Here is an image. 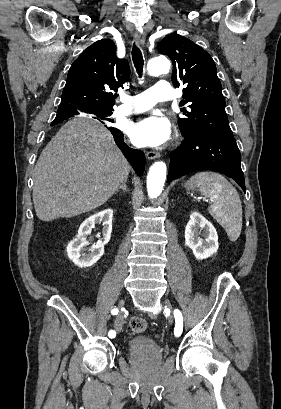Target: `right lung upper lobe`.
I'll use <instances>...</instances> for the list:
<instances>
[{"mask_svg":"<svg viewBox=\"0 0 281 409\" xmlns=\"http://www.w3.org/2000/svg\"><path fill=\"white\" fill-rule=\"evenodd\" d=\"M129 76V64L116 57L112 40L93 43L71 65L58 112L112 111L114 102L109 91H117Z\"/></svg>","mask_w":281,"mask_h":409,"instance_id":"right-lung-upper-lobe-1","label":"right lung upper lobe"}]
</instances>
